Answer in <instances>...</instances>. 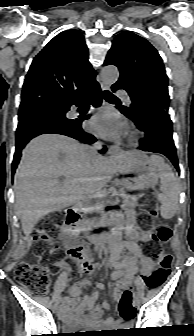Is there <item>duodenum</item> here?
<instances>
[{
    "mask_svg": "<svg viewBox=\"0 0 194 336\" xmlns=\"http://www.w3.org/2000/svg\"><path fill=\"white\" fill-rule=\"evenodd\" d=\"M87 209L85 203L78 202L68 209L66 214L65 229L67 233V242L64 245V250L76 262H88V255L85 252L83 245L76 241L78 234V224L85 210Z\"/></svg>",
    "mask_w": 194,
    "mask_h": 336,
    "instance_id": "1",
    "label": "duodenum"
}]
</instances>
